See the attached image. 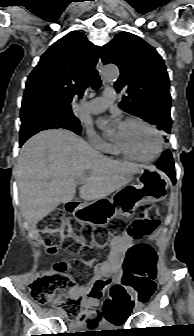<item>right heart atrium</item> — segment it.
Returning a JSON list of instances; mask_svg holds the SVG:
<instances>
[{
	"mask_svg": "<svg viewBox=\"0 0 194 336\" xmlns=\"http://www.w3.org/2000/svg\"><path fill=\"white\" fill-rule=\"evenodd\" d=\"M87 139L90 145L97 151L108 152L111 148V145L91 128L87 129Z\"/></svg>",
	"mask_w": 194,
	"mask_h": 336,
	"instance_id": "1",
	"label": "right heart atrium"
}]
</instances>
